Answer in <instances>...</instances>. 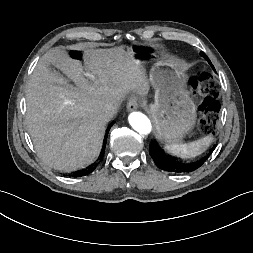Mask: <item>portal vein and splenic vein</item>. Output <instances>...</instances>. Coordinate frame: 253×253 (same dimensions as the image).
<instances>
[{
  "label": "portal vein and splenic vein",
  "mask_w": 253,
  "mask_h": 253,
  "mask_svg": "<svg viewBox=\"0 0 253 253\" xmlns=\"http://www.w3.org/2000/svg\"><path fill=\"white\" fill-rule=\"evenodd\" d=\"M87 76H89V77H91V78L94 77V76H93L92 74H90V73H87Z\"/></svg>",
  "instance_id": "18ae733b"
}]
</instances>
